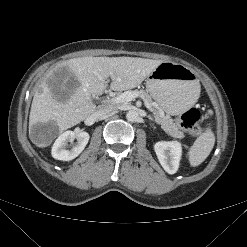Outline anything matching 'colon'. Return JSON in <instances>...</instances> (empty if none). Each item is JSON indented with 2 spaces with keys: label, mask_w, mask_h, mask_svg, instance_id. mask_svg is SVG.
Masks as SVG:
<instances>
[{
  "label": "colon",
  "mask_w": 247,
  "mask_h": 247,
  "mask_svg": "<svg viewBox=\"0 0 247 247\" xmlns=\"http://www.w3.org/2000/svg\"><path fill=\"white\" fill-rule=\"evenodd\" d=\"M200 117L201 114L199 109L196 107H192L178 117V125L180 126L181 129L191 134H200L201 133V128L199 126Z\"/></svg>",
  "instance_id": "colon-1"
}]
</instances>
